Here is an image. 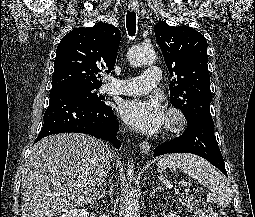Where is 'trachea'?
<instances>
[{
  "mask_svg": "<svg viewBox=\"0 0 255 217\" xmlns=\"http://www.w3.org/2000/svg\"><path fill=\"white\" fill-rule=\"evenodd\" d=\"M126 27L128 34L134 36L136 33V13L134 11H128L126 15Z\"/></svg>",
  "mask_w": 255,
  "mask_h": 217,
  "instance_id": "1",
  "label": "trachea"
}]
</instances>
